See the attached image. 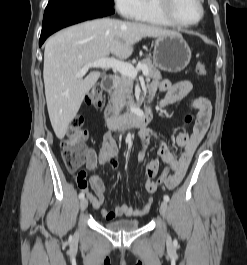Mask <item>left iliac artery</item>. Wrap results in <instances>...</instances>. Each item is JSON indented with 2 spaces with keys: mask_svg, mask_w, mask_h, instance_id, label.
<instances>
[{
  "mask_svg": "<svg viewBox=\"0 0 247 265\" xmlns=\"http://www.w3.org/2000/svg\"><path fill=\"white\" fill-rule=\"evenodd\" d=\"M164 200H165L166 202H168V201L170 200L169 196H168V195H164Z\"/></svg>",
  "mask_w": 247,
  "mask_h": 265,
  "instance_id": "obj_1",
  "label": "left iliac artery"
}]
</instances>
